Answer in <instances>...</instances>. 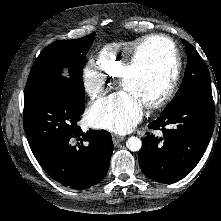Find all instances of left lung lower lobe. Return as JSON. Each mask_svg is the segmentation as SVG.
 Listing matches in <instances>:
<instances>
[{"label":"left lung lower lobe","mask_w":221,"mask_h":221,"mask_svg":"<svg viewBox=\"0 0 221 221\" xmlns=\"http://www.w3.org/2000/svg\"><path fill=\"white\" fill-rule=\"evenodd\" d=\"M215 123L213 98L194 96L149 124L160 136L142 140L139 165L142 172L159 183H171L188 175L202 158Z\"/></svg>","instance_id":"0a47b994"}]
</instances>
